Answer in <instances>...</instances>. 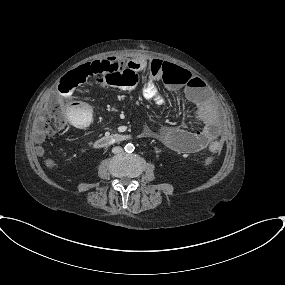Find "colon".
<instances>
[{"label": "colon", "mask_w": 285, "mask_h": 285, "mask_svg": "<svg viewBox=\"0 0 285 285\" xmlns=\"http://www.w3.org/2000/svg\"><path fill=\"white\" fill-rule=\"evenodd\" d=\"M163 75L166 78L171 76L185 77L188 75V71L166 63L164 64ZM92 78L101 79L113 88L132 91L137 87L140 75L125 66L123 62L111 60L89 62L67 73L61 81V93H54L48 98L44 106V112L38 116L35 122L33 138L36 142L42 141L64 127L68 118L65 100L77 94L81 82ZM90 120L91 118L82 120L80 126L88 125ZM220 151L219 143L211 144L210 152L212 156L218 155Z\"/></svg>", "instance_id": "colon-1"}]
</instances>
